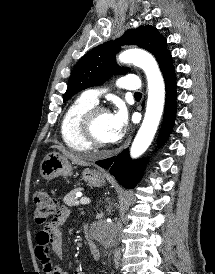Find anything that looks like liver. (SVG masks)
Segmentation results:
<instances>
[{"label":"liver","instance_id":"6515ba94","mask_svg":"<svg viewBox=\"0 0 215 274\" xmlns=\"http://www.w3.org/2000/svg\"><path fill=\"white\" fill-rule=\"evenodd\" d=\"M53 148H57L59 151H61L63 153V155L65 157H67L68 159H70L72 161V163L74 164H78V165H81V166H87L88 163L83 160L82 157L80 156H77V155H74L68 151H66L64 148L62 147H59V146H53Z\"/></svg>","mask_w":215,"mask_h":274}]
</instances>
